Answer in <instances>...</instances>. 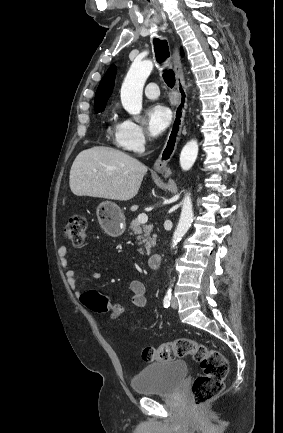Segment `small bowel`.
Listing matches in <instances>:
<instances>
[{"instance_id": "c3829d8e", "label": "small bowel", "mask_w": 283, "mask_h": 433, "mask_svg": "<svg viewBox=\"0 0 283 433\" xmlns=\"http://www.w3.org/2000/svg\"><path fill=\"white\" fill-rule=\"evenodd\" d=\"M58 256L62 267L66 270L65 275L70 289L74 292L76 297L81 296L78 283L76 280L75 271L70 267L69 264L70 252L68 248L65 246H61L58 249ZM101 275H102L101 273L95 272L92 274V277L95 279H99ZM129 290L131 293L132 304L137 308L144 307L147 303L146 290L144 284L139 280H132L129 284Z\"/></svg>"}]
</instances>
